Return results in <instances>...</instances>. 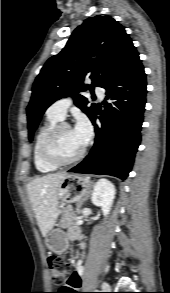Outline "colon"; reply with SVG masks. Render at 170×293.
<instances>
[{"label":"colon","mask_w":170,"mask_h":293,"mask_svg":"<svg viewBox=\"0 0 170 293\" xmlns=\"http://www.w3.org/2000/svg\"><path fill=\"white\" fill-rule=\"evenodd\" d=\"M49 266L51 269L52 282L56 289L51 293H70L72 286V281L69 283L70 286L66 284V279L70 274V270L65 263V261L57 256H50L48 259Z\"/></svg>","instance_id":"5ec220e1"}]
</instances>
